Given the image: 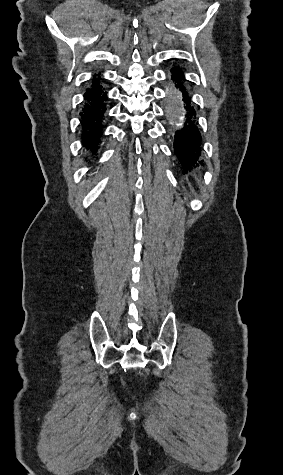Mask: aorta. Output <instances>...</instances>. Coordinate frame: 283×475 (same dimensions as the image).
<instances>
[{
	"label": "aorta",
	"mask_w": 283,
	"mask_h": 475,
	"mask_svg": "<svg viewBox=\"0 0 283 475\" xmlns=\"http://www.w3.org/2000/svg\"><path fill=\"white\" fill-rule=\"evenodd\" d=\"M173 102L169 108V118L175 122L178 126H181L184 119L183 105L179 96V91L171 89Z\"/></svg>",
	"instance_id": "762f6f07"
}]
</instances>
